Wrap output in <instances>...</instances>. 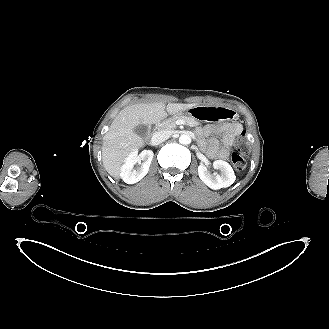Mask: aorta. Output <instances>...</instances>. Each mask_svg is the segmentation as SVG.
Masks as SVG:
<instances>
[{
  "instance_id": "aorta-1",
  "label": "aorta",
  "mask_w": 329,
  "mask_h": 329,
  "mask_svg": "<svg viewBox=\"0 0 329 329\" xmlns=\"http://www.w3.org/2000/svg\"><path fill=\"white\" fill-rule=\"evenodd\" d=\"M179 142L181 144H184V145H187V144H190L191 142V138L189 135L187 134H182L180 137H179Z\"/></svg>"
}]
</instances>
